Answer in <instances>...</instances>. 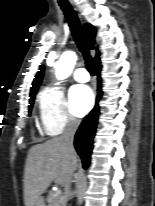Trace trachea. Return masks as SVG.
Wrapping results in <instances>:
<instances>
[{"label":"trachea","mask_w":155,"mask_h":206,"mask_svg":"<svg viewBox=\"0 0 155 206\" xmlns=\"http://www.w3.org/2000/svg\"><path fill=\"white\" fill-rule=\"evenodd\" d=\"M59 5L66 16L73 38L79 50L82 52L84 56L87 70L90 72L91 75H94L96 70L95 61L90 56L86 37L82 30L77 15L75 14L73 8L71 7L68 1L59 0Z\"/></svg>","instance_id":"1"}]
</instances>
